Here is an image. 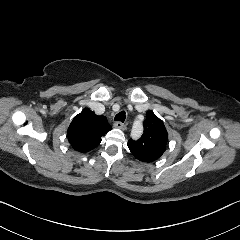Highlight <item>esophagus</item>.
Returning a JSON list of instances; mask_svg holds the SVG:
<instances>
[{
	"instance_id": "34e87169",
	"label": "esophagus",
	"mask_w": 240,
	"mask_h": 240,
	"mask_svg": "<svg viewBox=\"0 0 240 240\" xmlns=\"http://www.w3.org/2000/svg\"><path fill=\"white\" fill-rule=\"evenodd\" d=\"M114 127L121 130H126V125L120 121L114 123Z\"/></svg>"
}]
</instances>
